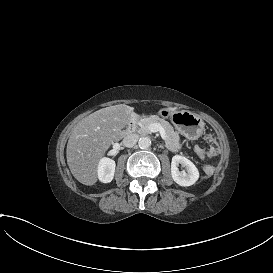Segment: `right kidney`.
I'll return each instance as SVG.
<instances>
[{
    "label": "right kidney",
    "mask_w": 273,
    "mask_h": 273,
    "mask_svg": "<svg viewBox=\"0 0 273 273\" xmlns=\"http://www.w3.org/2000/svg\"><path fill=\"white\" fill-rule=\"evenodd\" d=\"M115 173V162L111 159H103L99 165V178L102 182L112 181Z\"/></svg>",
    "instance_id": "ca27d5eb"
}]
</instances>
